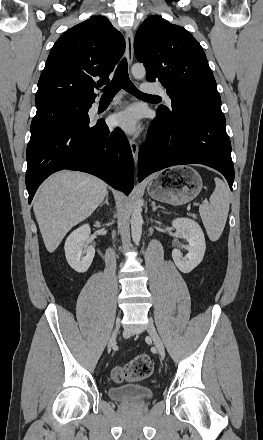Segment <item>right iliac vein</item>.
Wrapping results in <instances>:
<instances>
[{
  "label": "right iliac vein",
  "mask_w": 263,
  "mask_h": 440,
  "mask_svg": "<svg viewBox=\"0 0 263 440\" xmlns=\"http://www.w3.org/2000/svg\"><path fill=\"white\" fill-rule=\"evenodd\" d=\"M119 327H120V319L118 318L116 321L115 328H114V330L111 334V337L108 341V349H110L115 344V340H116L117 334L119 332Z\"/></svg>",
  "instance_id": "obj_1"
}]
</instances>
